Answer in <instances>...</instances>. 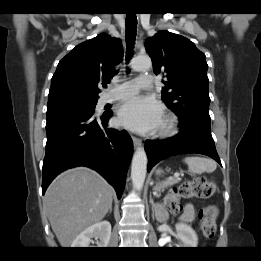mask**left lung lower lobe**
<instances>
[{
    "instance_id": "left-lung-lower-lobe-1",
    "label": "left lung lower lobe",
    "mask_w": 261,
    "mask_h": 261,
    "mask_svg": "<svg viewBox=\"0 0 261 261\" xmlns=\"http://www.w3.org/2000/svg\"><path fill=\"white\" fill-rule=\"evenodd\" d=\"M180 133L165 140H148L145 150L150 171L161 160L187 153H199L216 160L220 165L214 140L211 135L210 121L199 118L180 119Z\"/></svg>"
}]
</instances>
